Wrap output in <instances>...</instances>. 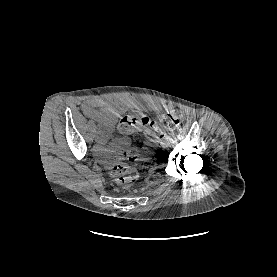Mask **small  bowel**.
<instances>
[{"label":"small bowel","instance_id":"small-bowel-1","mask_svg":"<svg viewBox=\"0 0 277 277\" xmlns=\"http://www.w3.org/2000/svg\"><path fill=\"white\" fill-rule=\"evenodd\" d=\"M126 106L146 108L155 112L158 116L168 110V107L164 105L152 103L140 105L131 100H124L121 102L106 98H89L85 100L81 106L83 113L89 118L95 120L102 127L98 135L97 151L99 153H103V146L108 134L113 129L118 117L124 111Z\"/></svg>","mask_w":277,"mask_h":277}]
</instances>
